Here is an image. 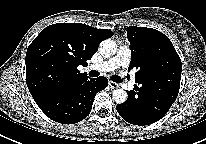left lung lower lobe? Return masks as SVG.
<instances>
[{
    "mask_svg": "<svg viewBox=\"0 0 206 144\" xmlns=\"http://www.w3.org/2000/svg\"><path fill=\"white\" fill-rule=\"evenodd\" d=\"M178 92L165 89L147 92L144 86L128 91V99L116 106L119 115L134 125H149L160 120L176 100Z\"/></svg>",
    "mask_w": 206,
    "mask_h": 144,
    "instance_id": "1",
    "label": "left lung lower lobe"
}]
</instances>
